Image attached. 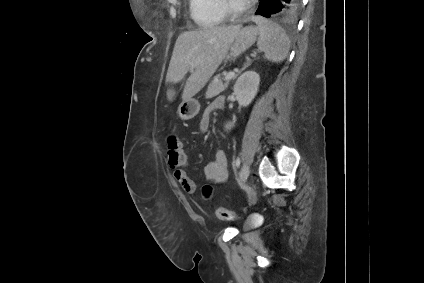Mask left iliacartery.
I'll list each match as a JSON object with an SVG mask.
<instances>
[{
  "mask_svg": "<svg viewBox=\"0 0 424 283\" xmlns=\"http://www.w3.org/2000/svg\"><path fill=\"white\" fill-rule=\"evenodd\" d=\"M235 165L238 168L240 166V158L237 157L236 161H235Z\"/></svg>",
  "mask_w": 424,
  "mask_h": 283,
  "instance_id": "1",
  "label": "left iliac artery"
}]
</instances>
